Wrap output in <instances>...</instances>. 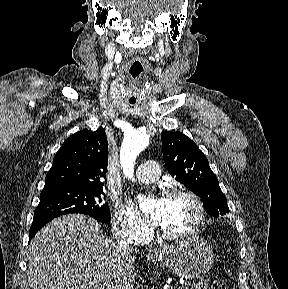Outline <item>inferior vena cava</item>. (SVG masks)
Listing matches in <instances>:
<instances>
[{"label":"inferior vena cava","mask_w":288,"mask_h":289,"mask_svg":"<svg viewBox=\"0 0 288 289\" xmlns=\"http://www.w3.org/2000/svg\"><path fill=\"white\" fill-rule=\"evenodd\" d=\"M116 247H117V250L121 253H128L132 251V247H131L129 239L125 240L122 238H117Z\"/></svg>","instance_id":"inferior-vena-cava-1"}]
</instances>
